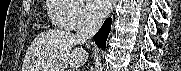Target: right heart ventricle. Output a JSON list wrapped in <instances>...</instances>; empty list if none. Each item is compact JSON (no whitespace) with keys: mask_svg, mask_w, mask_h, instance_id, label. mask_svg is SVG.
<instances>
[{"mask_svg":"<svg viewBox=\"0 0 181 71\" xmlns=\"http://www.w3.org/2000/svg\"><path fill=\"white\" fill-rule=\"evenodd\" d=\"M63 11H64L63 6L51 1L50 7H49V13H50L52 22L60 28H64V26L61 22V17H62Z\"/></svg>","mask_w":181,"mask_h":71,"instance_id":"1","label":"right heart ventricle"}]
</instances>
